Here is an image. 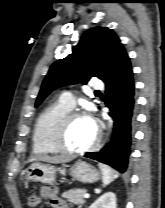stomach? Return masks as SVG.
<instances>
[{
	"mask_svg": "<svg viewBox=\"0 0 165 208\" xmlns=\"http://www.w3.org/2000/svg\"><path fill=\"white\" fill-rule=\"evenodd\" d=\"M61 168L40 162L32 163L25 170V177L32 182L53 184L56 179V172ZM70 174L81 183H94L100 179V173L90 164L80 161L70 168Z\"/></svg>",
	"mask_w": 165,
	"mask_h": 208,
	"instance_id": "1",
	"label": "stomach"
}]
</instances>
